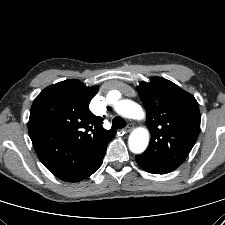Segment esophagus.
Here are the masks:
<instances>
[{
	"instance_id": "esophagus-1",
	"label": "esophagus",
	"mask_w": 225,
	"mask_h": 225,
	"mask_svg": "<svg viewBox=\"0 0 225 225\" xmlns=\"http://www.w3.org/2000/svg\"><path fill=\"white\" fill-rule=\"evenodd\" d=\"M134 128V125L132 123H129L126 128H125V132L128 133L130 132L132 129Z\"/></svg>"
}]
</instances>
